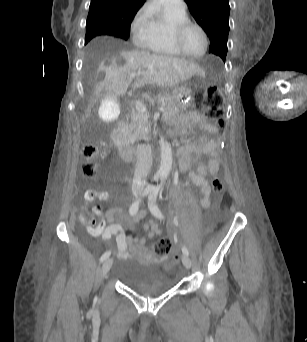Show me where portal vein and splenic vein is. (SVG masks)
<instances>
[{
	"label": "portal vein and splenic vein",
	"instance_id": "portal-vein-and-splenic-vein-1",
	"mask_svg": "<svg viewBox=\"0 0 307 342\" xmlns=\"http://www.w3.org/2000/svg\"><path fill=\"white\" fill-rule=\"evenodd\" d=\"M141 74L142 72H140V74H130L129 80H134L136 76H141ZM131 102L135 105L136 109H141L142 112H147L149 109L145 102H139L137 98H134ZM159 110L163 112L165 109L162 107L159 108Z\"/></svg>",
	"mask_w": 307,
	"mask_h": 342
}]
</instances>
